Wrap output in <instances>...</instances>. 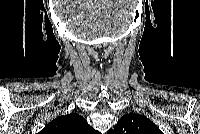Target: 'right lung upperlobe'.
<instances>
[{
  "mask_svg": "<svg viewBox=\"0 0 200 134\" xmlns=\"http://www.w3.org/2000/svg\"><path fill=\"white\" fill-rule=\"evenodd\" d=\"M95 131L87 121L77 113L60 116L51 121L42 134H94Z\"/></svg>",
  "mask_w": 200,
  "mask_h": 134,
  "instance_id": "obj_1",
  "label": "right lung upper lobe"
}]
</instances>
